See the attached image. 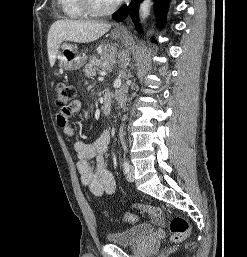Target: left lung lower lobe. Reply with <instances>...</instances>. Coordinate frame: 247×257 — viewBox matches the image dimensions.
<instances>
[{
	"mask_svg": "<svg viewBox=\"0 0 247 257\" xmlns=\"http://www.w3.org/2000/svg\"><path fill=\"white\" fill-rule=\"evenodd\" d=\"M140 0H132L129 5V13L132 17L133 22L138 31L140 28L138 27V7H139ZM169 0H155V11L160 19L165 17V14L168 9ZM128 15V7L125 5L117 10L113 15L112 18L117 21L124 20Z\"/></svg>",
	"mask_w": 247,
	"mask_h": 257,
	"instance_id": "0a47b994",
	"label": "left lung lower lobe"
}]
</instances>
